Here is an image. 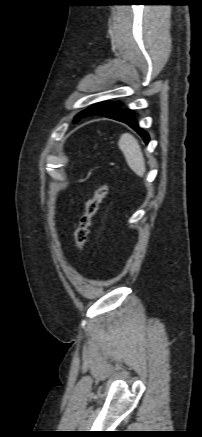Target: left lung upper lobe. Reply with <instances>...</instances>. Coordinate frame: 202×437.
Listing matches in <instances>:
<instances>
[{"label":"left lung upper lobe","mask_w":202,"mask_h":437,"mask_svg":"<svg viewBox=\"0 0 202 437\" xmlns=\"http://www.w3.org/2000/svg\"><path fill=\"white\" fill-rule=\"evenodd\" d=\"M118 107L115 106L112 102H105L101 104L94 105L82 112H80L78 115L75 116L74 122H77L79 119L87 117V116H93V115H105L107 113H110L117 109Z\"/></svg>","instance_id":"5c2ea615"}]
</instances>
